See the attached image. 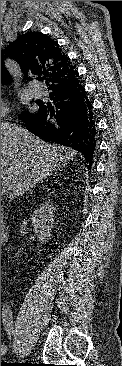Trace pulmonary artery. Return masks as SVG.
Listing matches in <instances>:
<instances>
[{"mask_svg": "<svg viewBox=\"0 0 122 366\" xmlns=\"http://www.w3.org/2000/svg\"><path fill=\"white\" fill-rule=\"evenodd\" d=\"M31 93L36 96V97H40L42 96V90L40 88H32L31 89Z\"/></svg>", "mask_w": 122, "mask_h": 366, "instance_id": "e3ab8cb5", "label": "pulmonary artery"}]
</instances>
